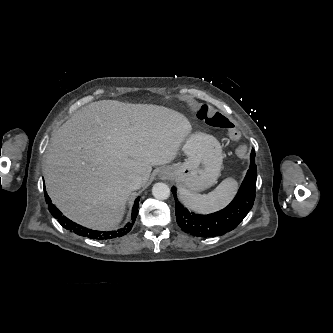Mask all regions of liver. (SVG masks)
<instances>
[{
    "label": "liver",
    "mask_w": 333,
    "mask_h": 333,
    "mask_svg": "<svg viewBox=\"0 0 333 333\" xmlns=\"http://www.w3.org/2000/svg\"><path fill=\"white\" fill-rule=\"evenodd\" d=\"M192 127L174 110L115 100L80 109L52 136L45 156L48 195L71 220L111 230L122 220L131 175L145 185L152 166L173 161Z\"/></svg>",
    "instance_id": "obj_1"
}]
</instances>
